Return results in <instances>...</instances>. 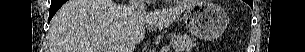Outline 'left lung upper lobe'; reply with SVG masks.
<instances>
[{
  "instance_id": "1",
  "label": "left lung upper lobe",
  "mask_w": 305,
  "mask_h": 52,
  "mask_svg": "<svg viewBox=\"0 0 305 52\" xmlns=\"http://www.w3.org/2000/svg\"><path fill=\"white\" fill-rule=\"evenodd\" d=\"M250 2H251L250 6H253L252 0H250Z\"/></svg>"
}]
</instances>
